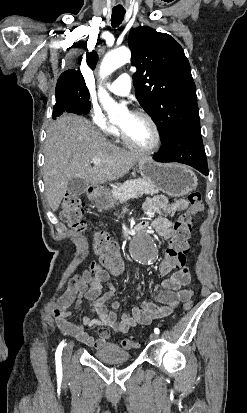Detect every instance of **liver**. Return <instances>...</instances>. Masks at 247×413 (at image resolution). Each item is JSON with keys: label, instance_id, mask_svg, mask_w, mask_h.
<instances>
[{"label": "liver", "instance_id": "liver-1", "mask_svg": "<svg viewBox=\"0 0 247 413\" xmlns=\"http://www.w3.org/2000/svg\"><path fill=\"white\" fill-rule=\"evenodd\" d=\"M44 156L45 194L52 211H57L71 178H85L97 186L121 178L144 158L114 146L88 118L67 112L48 128ZM91 158H101L100 164L91 166Z\"/></svg>", "mask_w": 247, "mask_h": 413}]
</instances>
